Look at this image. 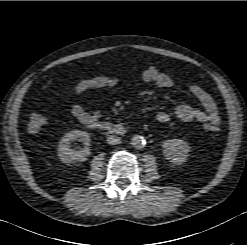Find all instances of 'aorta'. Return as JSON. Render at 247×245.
Segmentation results:
<instances>
[{"mask_svg":"<svg viewBox=\"0 0 247 245\" xmlns=\"http://www.w3.org/2000/svg\"><path fill=\"white\" fill-rule=\"evenodd\" d=\"M131 144L135 149H143L146 145V141L141 135H134L131 139Z\"/></svg>","mask_w":247,"mask_h":245,"instance_id":"1","label":"aorta"}]
</instances>
